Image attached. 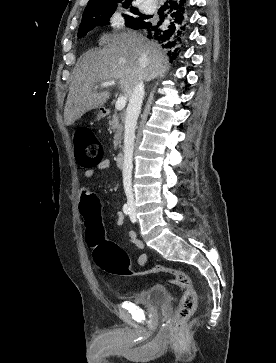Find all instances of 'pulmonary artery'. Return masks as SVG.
Instances as JSON below:
<instances>
[{
	"label": "pulmonary artery",
	"mask_w": 276,
	"mask_h": 363,
	"mask_svg": "<svg viewBox=\"0 0 276 363\" xmlns=\"http://www.w3.org/2000/svg\"><path fill=\"white\" fill-rule=\"evenodd\" d=\"M152 0H146L144 2V8L146 9L147 12L151 13V12H154L155 9L154 8H150L149 7V3L151 2Z\"/></svg>",
	"instance_id": "e3ab8cb5"
}]
</instances>
